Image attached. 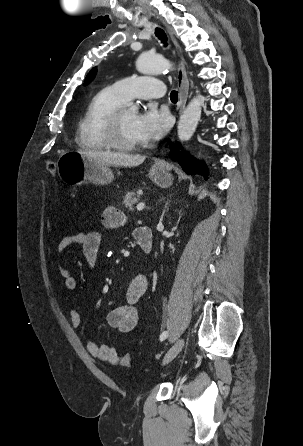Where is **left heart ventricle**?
Instances as JSON below:
<instances>
[{
	"label": "left heart ventricle",
	"mask_w": 303,
	"mask_h": 446,
	"mask_svg": "<svg viewBox=\"0 0 303 446\" xmlns=\"http://www.w3.org/2000/svg\"><path fill=\"white\" fill-rule=\"evenodd\" d=\"M137 114L133 110L125 109L121 116V137L126 142L140 143L134 129Z\"/></svg>",
	"instance_id": "left-heart-ventricle-1"
}]
</instances>
